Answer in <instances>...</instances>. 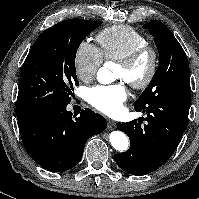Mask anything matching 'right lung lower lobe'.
Listing matches in <instances>:
<instances>
[{
  "label": "right lung lower lobe",
  "mask_w": 199,
  "mask_h": 199,
  "mask_svg": "<svg viewBox=\"0 0 199 199\" xmlns=\"http://www.w3.org/2000/svg\"><path fill=\"white\" fill-rule=\"evenodd\" d=\"M65 108L45 113L20 129L30 157L49 171L61 172L75 167L81 160L86 141L100 134L107 125L104 117L91 109L82 110L76 117Z\"/></svg>",
  "instance_id": "98d812e1"
}]
</instances>
